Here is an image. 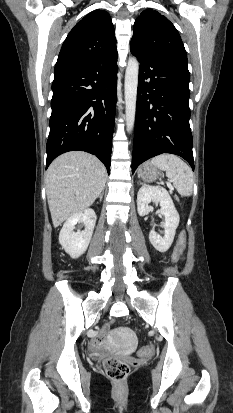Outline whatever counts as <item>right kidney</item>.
I'll return each mask as SVG.
<instances>
[{
	"instance_id": "obj_1",
	"label": "right kidney",
	"mask_w": 233,
	"mask_h": 413,
	"mask_svg": "<svg viewBox=\"0 0 233 413\" xmlns=\"http://www.w3.org/2000/svg\"><path fill=\"white\" fill-rule=\"evenodd\" d=\"M77 223H83L85 229L74 232ZM95 223L96 214L91 208L78 212L66 220L59 234V242L71 258H78L85 253L91 241Z\"/></svg>"
}]
</instances>
